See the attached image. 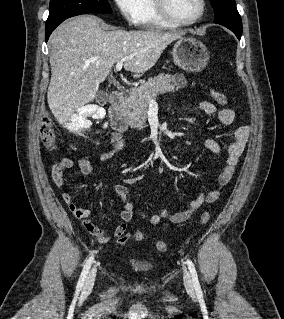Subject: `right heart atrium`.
Here are the masks:
<instances>
[{
    "instance_id": "obj_1",
    "label": "right heart atrium",
    "mask_w": 284,
    "mask_h": 319,
    "mask_svg": "<svg viewBox=\"0 0 284 319\" xmlns=\"http://www.w3.org/2000/svg\"><path fill=\"white\" fill-rule=\"evenodd\" d=\"M113 2L129 25H139L143 10V0H113Z\"/></svg>"
}]
</instances>
